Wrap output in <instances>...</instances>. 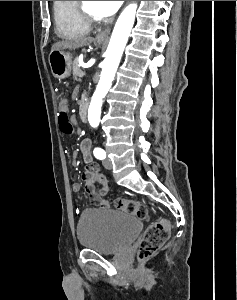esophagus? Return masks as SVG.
I'll return each mask as SVG.
<instances>
[{"label": "esophagus", "instance_id": "34e87169", "mask_svg": "<svg viewBox=\"0 0 237 300\" xmlns=\"http://www.w3.org/2000/svg\"><path fill=\"white\" fill-rule=\"evenodd\" d=\"M110 33V28L104 29V31H101V33H98L96 36V40L98 41H104L108 39Z\"/></svg>", "mask_w": 237, "mask_h": 300}]
</instances>
